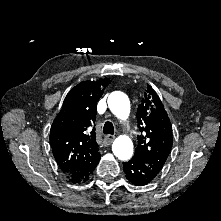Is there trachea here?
I'll return each mask as SVG.
<instances>
[{
    "instance_id": "trachea-1",
    "label": "trachea",
    "mask_w": 221,
    "mask_h": 221,
    "mask_svg": "<svg viewBox=\"0 0 221 221\" xmlns=\"http://www.w3.org/2000/svg\"><path fill=\"white\" fill-rule=\"evenodd\" d=\"M103 133L106 134V135H108V134L113 135L114 134V126L111 122L107 121L104 124Z\"/></svg>"
}]
</instances>
